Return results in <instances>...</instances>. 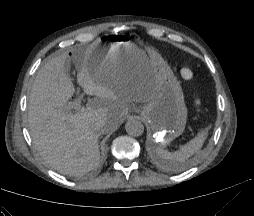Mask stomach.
<instances>
[{"label": "stomach", "instance_id": "obj_1", "mask_svg": "<svg viewBox=\"0 0 254 216\" xmlns=\"http://www.w3.org/2000/svg\"><path fill=\"white\" fill-rule=\"evenodd\" d=\"M90 71L94 78L109 71L135 70L148 67L154 77L150 100L143 106L141 116L151 127V142L166 148L180 136L187 121V107L179 81L170 66L155 51L138 48L128 38L106 35L96 41Z\"/></svg>", "mask_w": 254, "mask_h": 216}]
</instances>
